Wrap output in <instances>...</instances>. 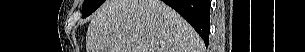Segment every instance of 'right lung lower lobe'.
<instances>
[{
	"label": "right lung lower lobe",
	"mask_w": 305,
	"mask_h": 52,
	"mask_svg": "<svg viewBox=\"0 0 305 52\" xmlns=\"http://www.w3.org/2000/svg\"><path fill=\"white\" fill-rule=\"evenodd\" d=\"M175 9L198 32L208 45L210 33L209 0H162Z\"/></svg>",
	"instance_id": "98d812e1"
}]
</instances>
